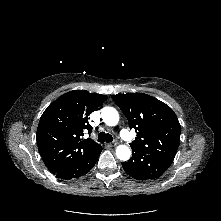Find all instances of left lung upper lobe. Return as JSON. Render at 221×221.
Wrapping results in <instances>:
<instances>
[{"label": "left lung upper lobe", "mask_w": 221, "mask_h": 221, "mask_svg": "<svg viewBox=\"0 0 221 221\" xmlns=\"http://www.w3.org/2000/svg\"><path fill=\"white\" fill-rule=\"evenodd\" d=\"M112 98L127 117L130 128L137 132L130 144L132 151L173 160L181 132L173 110L144 93L113 95Z\"/></svg>", "instance_id": "5c2ea615"}]
</instances>
